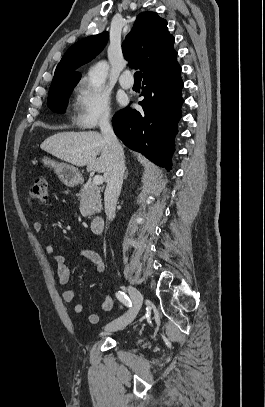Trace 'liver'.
<instances>
[{"mask_svg": "<svg viewBox=\"0 0 265 407\" xmlns=\"http://www.w3.org/2000/svg\"><path fill=\"white\" fill-rule=\"evenodd\" d=\"M40 148L72 165L103 173L105 181L112 171V150L96 131L57 133L45 139Z\"/></svg>", "mask_w": 265, "mask_h": 407, "instance_id": "6515ba94", "label": "liver"}]
</instances>
